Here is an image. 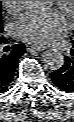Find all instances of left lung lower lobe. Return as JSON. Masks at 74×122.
<instances>
[{"mask_svg":"<svg viewBox=\"0 0 74 122\" xmlns=\"http://www.w3.org/2000/svg\"><path fill=\"white\" fill-rule=\"evenodd\" d=\"M73 49H71L70 55L66 56L64 65L52 72V82L59 90L66 92H74V39L72 41Z\"/></svg>","mask_w":74,"mask_h":122,"instance_id":"left-lung-lower-lobe-1","label":"left lung lower lobe"}]
</instances>
